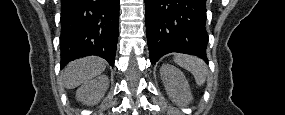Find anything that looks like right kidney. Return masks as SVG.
Here are the masks:
<instances>
[{
    "mask_svg": "<svg viewBox=\"0 0 285 115\" xmlns=\"http://www.w3.org/2000/svg\"><path fill=\"white\" fill-rule=\"evenodd\" d=\"M109 87V79L101 75L93 80L85 82L76 91V99L84 104H94L100 101Z\"/></svg>",
    "mask_w": 285,
    "mask_h": 115,
    "instance_id": "obj_1",
    "label": "right kidney"
}]
</instances>
